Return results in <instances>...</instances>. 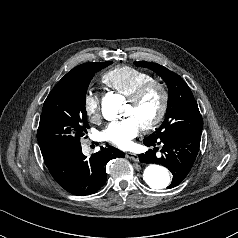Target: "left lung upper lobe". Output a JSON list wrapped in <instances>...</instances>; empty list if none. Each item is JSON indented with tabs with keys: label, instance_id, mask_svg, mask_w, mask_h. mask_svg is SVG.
<instances>
[{
	"label": "left lung upper lobe",
	"instance_id": "1",
	"mask_svg": "<svg viewBox=\"0 0 238 238\" xmlns=\"http://www.w3.org/2000/svg\"><path fill=\"white\" fill-rule=\"evenodd\" d=\"M135 64L151 69L168 86V105L165 120L147 138L158 139L166 135L182 132L201 133L203 128L202 116L187 83L179 75L157 63L143 61L135 62Z\"/></svg>",
	"mask_w": 238,
	"mask_h": 238
}]
</instances>
